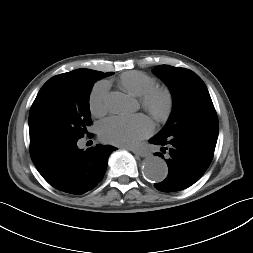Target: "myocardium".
<instances>
[{
    "instance_id": "myocardium-1",
    "label": "myocardium",
    "mask_w": 253,
    "mask_h": 253,
    "mask_svg": "<svg viewBox=\"0 0 253 253\" xmlns=\"http://www.w3.org/2000/svg\"><path fill=\"white\" fill-rule=\"evenodd\" d=\"M141 105L156 120L166 121L174 109V95L165 86H155L140 97Z\"/></svg>"
}]
</instances>
